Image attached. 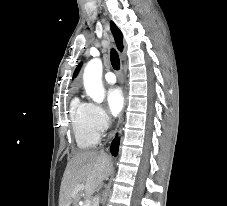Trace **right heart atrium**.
<instances>
[{"label":"right heart atrium","instance_id":"right-heart-atrium-1","mask_svg":"<svg viewBox=\"0 0 227 206\" xmlns=\"http://www.w3.org/2000/svg\"><path fill=\"white\" fill-rule=\"evenodd\" d=\"M90 119L98 133L104 132L109 127L110 118L106 111L98 105L90 104Z\"/></svg>","mask_w":227,"mask_h":206}]
</instances>
